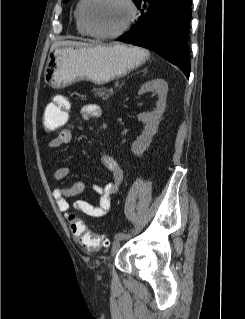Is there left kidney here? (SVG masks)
Masks as SVG:
<instances>
[{
	"instance_id": "5707ae66",
	"label": "left kidney",
	"mask_w": 245,
	"mask_h": 319,
	"mask_svg": "<svg viewBox=\"0 0 245 319\" xmlns=\"http://www.w3.org/2000/svg\"><path fill=\"white\" fill-rule=\"evenodd\" d=\"M149 91L156 92L159 98L154 111L143 112L138 115V119L145 124V127L142 134L132 144V152L136 155H142L158 130L159 122L166 107L168 85L163 79H152L141 86L138 94L143 95Z\"/></svg>"
}]
</instances>
